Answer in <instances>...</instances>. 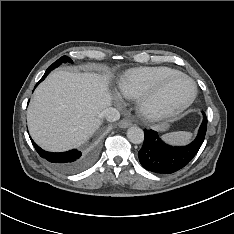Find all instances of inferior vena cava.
<instances>
[{"mask_svg":"<svg viewBox=\"0 0 234 234\" xmlns=\"http://www.w3.org/2000/svg\"><path fill=\"white\" fill-rule=\"evenodd\" d=\"M101 116L109 122H114L120 119V113L116 108L109 107L102 111Z\"/></svg>","mask_w":234,"mask_h":234,"instance_id":"602c4592","label":"inferior vena cava"}]
</instances>
